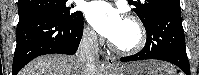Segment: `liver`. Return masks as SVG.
<instances>
[{
	"label": "liver",
	"instance_id": "6515ba94",
	"mask_svg": "<svg viewBox=\"0 0 199 75\" xmlns=\"http://www.w3.org/2000/svg\"><path fill=\"white\" fill-rule=\"evenodd\" d=\"M84 69L85 64L77 55H45L31 61L18 75H84ZM95 75H107L106 67L99 61Z\"/></svg>",
	"mask_w": 199,
	"mask_h": 75
}]
</instances>
